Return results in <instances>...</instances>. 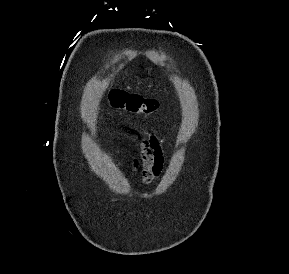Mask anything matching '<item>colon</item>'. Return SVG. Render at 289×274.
<instances>
[{"mask_svg": "<svg viewBox=\"0 0 289 274\" xmlns=\"http://www.w3.org/2000/svg\"><path fill=\"white\" fill-rule=\"evenodd\" d=\"M108 98L113 107L125 110L132 114L148 116L156 112L160 106L158 100L129 94L122 90H112L109 93Z\"/></svg>", "mask_w": 289, "mask_h": 274, "instance_id": "5ec220e1", "label": "colon"}]
</instances>
